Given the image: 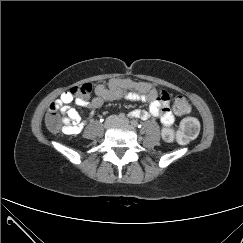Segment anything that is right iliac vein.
Wrapping results in <instances>:
<instances>
[{
    "mask_svg": "<svg viewBox=\"0 0 243 243\" xmlns=\"http://www.w3.org/2000/svg\"><path fill=\"white\" fill-rule=\"evenodd\" d=\"M117 117L116 116H110L106 119L105 123H104V127L105 128H109L111 126H113L116 122H117Z\"/></svg>",
    "mask_w": 243,
    "mask_h": 243,
    "instance_id": "obj_1",
    "label": "right iliac vein"
}]
</instances>
